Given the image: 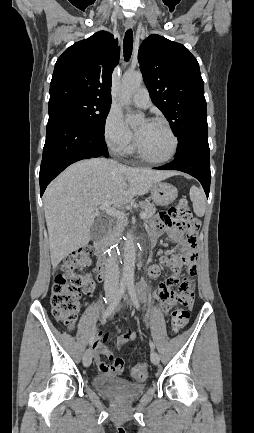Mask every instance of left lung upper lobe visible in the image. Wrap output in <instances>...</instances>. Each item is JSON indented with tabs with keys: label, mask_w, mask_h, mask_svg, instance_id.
Instances as JSON below:
<instances>
[{
	"label": "left lung upper lobe",
	"mask_w": 254,
	"mask_h": 433,
	"mask_svg": "<svg viewBox=\"0 0 254 433\" xmlns=\"http://www.w3.org/2000/svg\"><path fill=\"white\" fill-rule=\"evenodd\" d=\"M150 97L178 138V149L208 139L204 82L196 58L182 44L150 35L138 52Z\"/></svg>",
	"instance_id": "left-lung-upper-lobe-1"
}]
</instances>
